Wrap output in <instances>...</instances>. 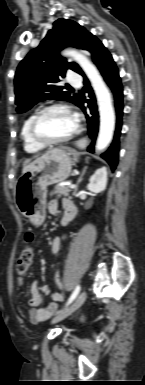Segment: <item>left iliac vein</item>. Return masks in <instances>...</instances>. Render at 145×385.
<instances>
[{
  "label": "left iliac vein",
  "instance_id": "1",
  "mask_svg": "<svg viewBox=\"0 0 145 385\" xmlns=\"http://www.w3.org/2000/svg\"><path fill=\"white\" fill-rule=\"evenodd\" d=\"M87 298V293L86 291H82L75 299V301L73 302V304L71 306H69L67 309H65L61 314L57 315L54 319H53V323H56V322H59L63 319H65L66 317H68L69 315H71L74 311H76L79 307L82 306V304L85 302Z\"/></svg>",
  "mask_w": 145,
  "mask_h": 385
}]
</instances>
